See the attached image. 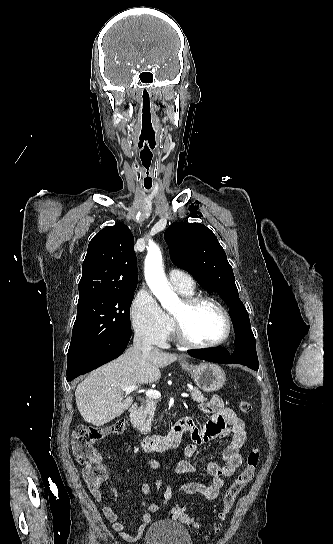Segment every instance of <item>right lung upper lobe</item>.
<instances>
[{
  "mask_svg": "<svg viewBox=\"0 0 333 544\" xmlns=\"http://www.w3.org/2000/svg\"><path fill=\"white\" fill-rule=\"evenodd\" d=\"M130 229L119 222L99 231L90 241L79 282V300L137 286V258Z\"/></svg>",
  "mask_w": 333,
  "mask_h": 544,
  "instance_id": "1",
  "label": "right lung upper lobe"
}]
</instances>
